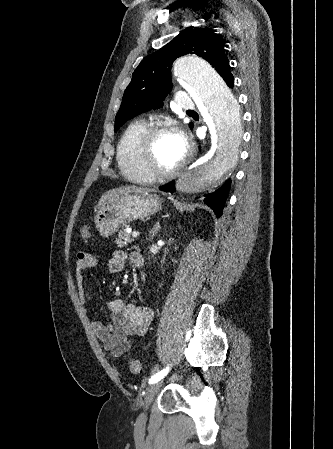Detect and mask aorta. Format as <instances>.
Here are the masks:
<instances>
[{
    "label": "aorta",
    "mask_w": 333,
    "mask_h": 449,
    "mask_svg": "<svg viewBox=\"0 0 333 449\" xmlns=\"http://www.w3.org/2000/svg\"><path fill=\"white\" fill-rule=\"evenodd\" d=\"M173 74L203 107V116L213 124L215 139L214 149L185 171L176 188L185 194L209 192L221 185L225 172L236 162L241 141L239 106L216 70L196 55L178 58L173 64Z\"/></svg>",
    "instance_id": "obj_1"
}]
</instances>
